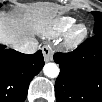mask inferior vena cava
<instances>
[{
  "label": "inferior vena cava",
  "mask_w": 102,
  "mask_h": 102,
  "mask_svg": "<svg viewBox=\"0 0 102 102\" xmlns=\"http://www.w3.org/2000/svg\"><path fill=\"white\" fill-rule=\"evenodd\" d=\"M38 48V41L35 38H28L15 49L21 53L34 54Z\"/></svg>",
  "instance_id": "obj_1"
}]
</instances>
